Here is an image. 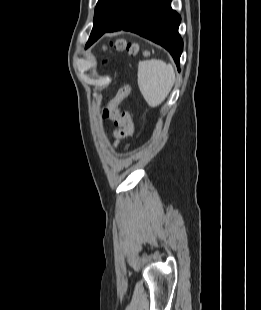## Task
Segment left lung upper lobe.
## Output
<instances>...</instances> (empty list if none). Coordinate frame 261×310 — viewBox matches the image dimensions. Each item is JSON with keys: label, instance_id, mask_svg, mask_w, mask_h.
I'll use <instances>...</instances> for the list:
<instances>
[{"label": "left lung upper lobe", "instance_id": "5c2ea615", "mask_svg": "<svg viewBox=\"0 0 261 310\" xmlns=\"http://www.w3.org/2000/svg\"><path fill=\"white\" fill-rule=\"evenodd\" d=\"M122 0H99L95 8L94 24H106L116 14Z\"/></svg>", "mask_w": 261, "mask_h": 310}]
</instances>
